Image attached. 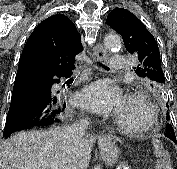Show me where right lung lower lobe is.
<instances>
[{"label":"right lung lower lobe","instance_id":"98d812e1","mask_svg":"<svg viewBox=\"0 0 177 169\" xmlns=\"http://www.w3.org/2000/svg\"><path fill=\"white\" fill-rule=\"evenodd\" d=\"M71 71L19 68L13 87L4 136L32 127L58 124L65 117L66 102L52 86Z\"/></svg>","mask_w":177,"mask_h":169}]
</instances>
